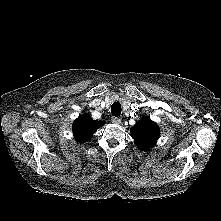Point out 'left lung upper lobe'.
Instances as JSON below:
<instances>
[{"instance_id":"left-lung-upper-lobe-1","label":"left lung upper lobe","mask_w":221,"mask_h":221,"mask_svg":"<svg viewBox=\"0 0 221 221\" xmlns=\"http://www.w3.org/2000/svg\"><path fill=\"white\" fill-rule=\"evenodd\" d=\"M159 127L149 117H143L131 128L135 144L143 151L153 147L159 138Z\"/></svg>"}]
</instances>
